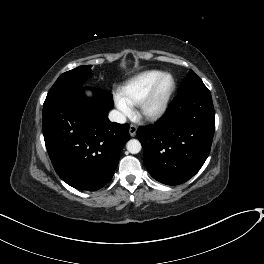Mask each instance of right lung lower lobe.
I'll use <instances>...</instances> for the list:
<instances>
[{
    "label": "right lung lower lobe",
    "mask_w": 264,
    "mask_h": 264,
    "mask_svg": "<svg viewBox=\"0 0 264 264\" xmlns=\"http://www.w3.org/2000/svg\"><path fill=\"white\" fill-rule=\"evenodd\" d=\"M80 87L44 104L43 135L58 176L68 185L96 191L113 177L121 149L129 140V125L110 122L112 94Z\"/></svg>",
    "instance_id": "obj_1"
}]
</instances>
